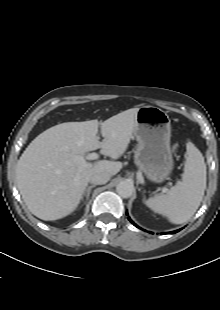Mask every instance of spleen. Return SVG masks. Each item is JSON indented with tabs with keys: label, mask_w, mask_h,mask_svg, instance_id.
Masks as SVG:
<instances>
[{
	"label": "spleen",
	"mask_w": 220,
	"mask_h": 310,
	"mask_svg": "<svg viewBox=\"0 0 220 310\" xmlns=\"http://www.w3.org/2000/svg\"><path fill=\"white\" fill-rule=\"evenodd\" d=\"M187 157L182 180L166 194L146 201L155 213L168 218L173 224L188 221L198 209L206 189V165L201 152L193 143H187Z\"/></svg>",
	"instance_id": "3e777b00"
}]
</instances>
